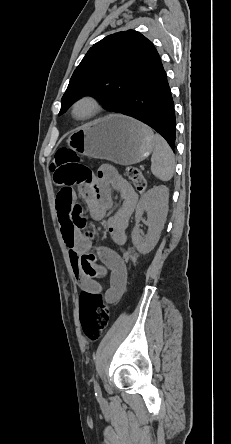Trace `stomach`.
Here are the masks:
<instances>
[{
  "label": "stomach",
  "instance_id": "obj_1",
  "mask_svg": "<svg viewBox=\"0 0 231 444\" xmlns=\"http://www.w3.org/2000/svg\"><path fill=\"white\" fill-rule=\"evenodd\" d=\"M67 143L78 154L121 165L143 161L155 147L150 128L121 114L109 115L74 131Z\"/></svg>",
  "mask_w": 231,
  "mask_h": 444
}]
</instances>
